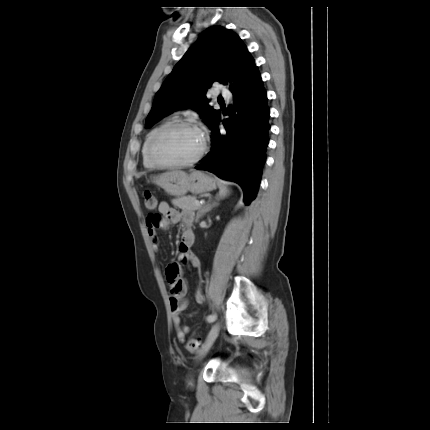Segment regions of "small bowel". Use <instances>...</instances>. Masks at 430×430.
I'll list each match as a JSON object with an SVG mask.
<instances>
[{"instance_id": "small-bowel-1", "label": "small bowel", "mask_w": 430, "mask_h": 430, "mask_svg": "<svg viewBox=\"0 0 430 430\" xmlns=\"http://www.w3.org/2000/svg\"><path fill=\"white\" fill-rule=\"evenodd\" d=\"M160 215H151L146 221L147 232L151 239V246L154 252L159 249L156 230L158 228L166 229L170 224L182 223L184 226L181 242L179 246V259L183 263H188L190 267L199 269L200 261L191 251L195 235L190 225L193 222L194 214L188 210H177L172 208L167 202L163 201L158 205ZM182 268L180 263L173 262L167 266L166 277L170 286V305L172 310V321L176 329L179 341H184L186 334L190 333V327L181 324V313L188 307L186 299L187 284L181 277ZM195 301L202 304L204 296L201 287L195 293ZM192 314H190L191 316Z\"/></svg>"}]
</instances>
